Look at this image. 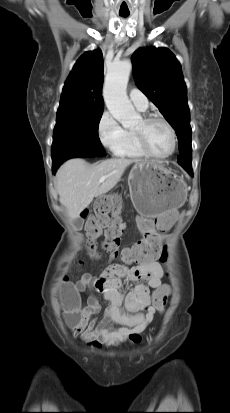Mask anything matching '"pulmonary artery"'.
<instances>
[{"instance_id": "obj_1", "label": "pulmonary artery", "mask_w": 230, "mask_h": 413, "mask_svg": "<svg viewBox=\"0 0 230 413\" xmlns=\"http://www.w3.org/2000/svg\"><path fill=\"white\" fill-rule=\"evenodd\" d=\"M129 97L133 105L138 110L145 111L148 108V105H149L148 99L142 91L136 88H133L129 91Z\"/></svg>"}]
</instances>
